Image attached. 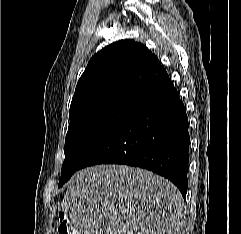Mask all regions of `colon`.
Wrapping results in <instances>:
<instances>
[{
	"label": "colon",
	"mask_w": 241,
	"mask_h": 234,
	"mask_svg": "<svg viewBox=\"0 0 241 234\" xmlns=\"http://www.w3.org/2000/svg\"><path fill=\"white\" fill-rule=\"evenodd\" d=\"M58 234H74L69 220L64 214L59 215Z\"/></svg>",
	"instance_id": "obj_1"
}]
</instances>
